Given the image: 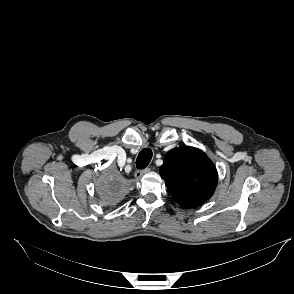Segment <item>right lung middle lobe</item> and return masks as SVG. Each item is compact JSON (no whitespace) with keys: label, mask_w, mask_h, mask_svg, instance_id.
Listing matches in <instances>:
<instances>
[{"label":"right lung middle lobe","mask_w":294,"mask_h":294,"mask_svg":"<svg viewBox=\"0 0 294 294\" xmlns=\"http://www.w3.org/2000/svg\"><path fill=\"white\" fill-rule=\"evenodd\" d=\"M121 181L115 176H106L98 182L99 203L111 206L123 196L124 190Z\"/></svg>","instance_id":"1"}]
</instances>
